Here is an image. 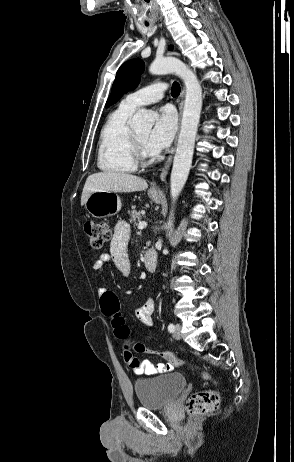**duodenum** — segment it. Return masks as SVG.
<instances>
[{"mask_svg":"<svg viewBox=\"0 0 294 462\" xmlns=\"http://www.w3.org/2000/svg\"><path fill=\"white\" fill-rule=\"evenodd\" d=\"M144 265L150 272L154 271L157 266V253L152 248H147L144 253Z\"/></svg>","mask_w":294,"mask_h":462,"instance_id":"duodenum-1","label":"duodenum"}]
</instances>
